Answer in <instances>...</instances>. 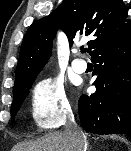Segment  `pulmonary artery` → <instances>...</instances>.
I'll use <instances>...</instances> for the list:
<instances>
[{
    "mask_svg": "<svg viewBox=\"0 0 131 151\" xmlns=\"http://www.w3.org/2000/svg\"><path fill=\"white\" fill-rule=\"evenodd\" d=\"M72 69L77 73H83L87 69V64L82 59H75L72 62Z\"/></svg>",
    "mask_w": 131,
    "mask_h": 151,
    "instance_id": "e3ab8cb5",
    "label": "pulmonary artery"
}]
</instances>
